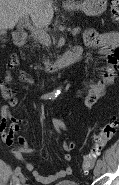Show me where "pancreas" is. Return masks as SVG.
<instances>
[{"label":"pancreas","instance_id":"obj_1","mask_svg":"<svg viewBox=\"0 0 119 185\" xmlns=\"http://www.w3.org/2000/svg\"><path fill=\"white\" fill-rule=\"evenodd\" d=\"M79 32H80V28H76V29L73 30V35H76V34H78ZM30 37H31L32 40L34 41L35 47H38L39 44H43V43L41 42V40H40L34 33H32Z\"/></svg>","mask_w":119,"mask_h":185}]
</instances>
